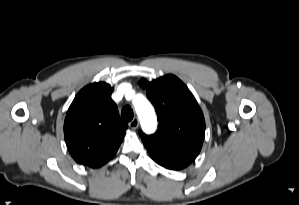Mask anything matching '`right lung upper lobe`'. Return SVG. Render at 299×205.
<instances>
[{"instance_id": "cb5924a9", "label": "right lung upper lobe", "mask_w": 299, "mask_h": 205, "mask_svg": "<svg viewBox=\"0 0 299 205\" xmlns=\"http://www.w3.org/2000/svg\"><path fill=\"white\" fill-rule=\"evenodd\" d=\"M113 88L104 82L84 87L70 105L64 122V137L74 160L98 168L112 159L125 135Z\"/></svg>"}]
</instances>
